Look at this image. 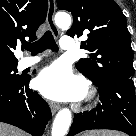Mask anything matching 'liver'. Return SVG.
Masks as SVG:
<instances>
[{
	"instance_id": "liver-1",
	"label": "liver",
	"mask_w": 136,
	"mask_h": 136,
	"mask_svg": "<svg viewBox=\"0 0 136 136\" xmlns=\"http://www.w3.org/2000/svg\"><path fill=\"white\" fill-rule=\"evenodd\" d=\"M0 136H27L21 130L11 125L0 123Z\"/></svg>"
}]
</instances>
